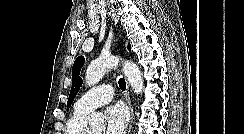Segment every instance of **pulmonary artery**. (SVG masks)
I'll return each instance as SVG.
<instances>
[{
  "mask_svg": "<svg viewBox=\"0 0 244 134\" xmlns=\"http://www.w3.org/2000/svg\"><path fill=\"white\" fill-rule=\"evenodd\" d=\"M113 95L114 90L111 85H99L84 93L75 103V109L88 113L95 108L109 103Z\"/></svg>",
  "mask_w": 244,
  "mask_h": 134,
  "instance_id": "e3ab8cb5",
  "label": "pulmonary artery"
}]
</instances>
